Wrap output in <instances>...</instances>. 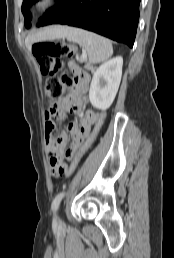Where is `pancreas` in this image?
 Returning a JSON list of instances; mask_svg holds the SVG:
<instances>
[{
    "mask_svg": "<svg viewBox=\"0 0 174 258\" xmlns=\"http://www.w3.org/2000/svg\"><path fill=\"white\" fill-rule=\"evenodd\" d=\"M77 60L79 61V62H85L86 64H85V68L87 69V70H89V71H94V67L91 65V64H89L88 62H87V60H86V58H82V57H80V58H77Z\"/></svg>",
    "mask_w": 174,
    "mask_h": 258,
    "instance_id": "pancreas-1",
    "label": "pancreas"
}]
</instances>
